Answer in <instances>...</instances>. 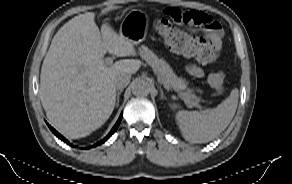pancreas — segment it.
I'll return each mask as SVG.
<instances>
[{
	"label": "pancreas",
	"mask_w": 292,
	"mask_h": 184,
	"mask_svg": "<svg viewBox=\"0 0 292 184\" xmlns=\"http://www.w3.org/2000/svg\"><path fill=\"white\" fill-rule=\"evenodd\" d=\"M139 51L141 57L153 68L154 72L159 76L165 86L183 93L185 98L189 100L188 104H196V96L192 93L191 89L187 88L185 79L177 77L165 60L159 59L153 51L146 46H142Z\"/></svg>",
	"instance_id": "obj_1"
}]
</instances>
